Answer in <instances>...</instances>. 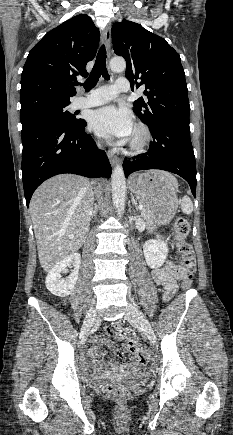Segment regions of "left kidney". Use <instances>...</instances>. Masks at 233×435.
Returning <instances> with one entry per match:
<instances>
[{"mask_svg": "<svg viewBox=\"0 0 233 435\" xmlns=\"http://www.w3.org/2000/svg\"><path fill=\"white\" fill-rule=\"evenodd\" d=\"M157 239L148 240L143 245L144 257L150 268L161 267L168 255L167 243L162 237L156 235Z\"/></svg>", "mask_w": 233, "mask_h": 435, "instance_id": "left-kidney-1", "label": "left kidney"}]
</instances>
